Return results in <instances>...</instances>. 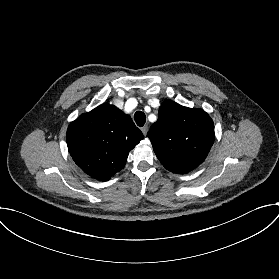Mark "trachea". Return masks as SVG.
<instances>
[{
	"instance_id": "trachea-1",
	"label": "trachea",
	"mask_w": 279,
	"mask_h": 279,
	"mask_svg": "<svg viewBox=\"0 0 279 279\" xmlns=\"http://www.w3.org/2000/svg\"><path fill=\"white\" fill-rule=\"evenodd\" d=\"M135 122L138 126L142 127L146 122V116L143 112L137 111L134 115Z\"/></svg>"
}]
</instances>
